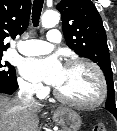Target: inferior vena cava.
<instances>
[{
  "label": "inferior vena cava",
  "mask_w": 117,
  "mask_h": 131,
  "mask_svg": "<svg viewBox=\"0 0 117 131\" xmlns=\"http://www.w3.org/2000/svg\"><path fill=\"white\" fill-rule=\"evenodd\" d=\"M33 89L31 88H21L18 92V98L23 104H27L30 106H36L37 102L33 98L32 94Z\"/></svg>",
  "instance_id": "inferior-vena-cava-1"
}]
</instances>
